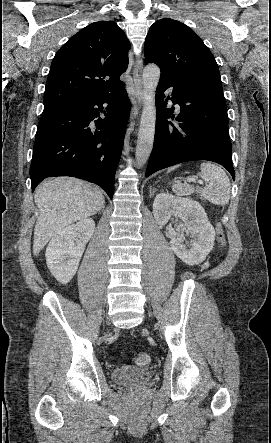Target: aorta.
Here are the masks:
<instances>
[{"instance_id":"762f6f07","label":"aorta","mask_w":271,"mask_h":443,"mask_svg":"<svg viewBox=\"0 0 271 443\" xmlns=\"http://www.w3.org/2000/svg\"><path fill=\"white\" fill-rule=\"evenodd\" d=\"M160 74V68L155 64H149L143 70V110L135 152L137 166H144L152 152L156 124L155 92Z\"/></svg>"}]
</instances>
